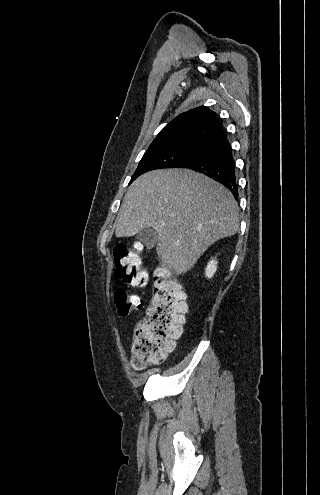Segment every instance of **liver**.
<instances>
[{
    "instance_id": "obj_1",
    "label": "liver",
    "mask_w": 320,
    "mask_h": 495,
    "mask_svg": "<svg viewBox=\"0 0 320 495\" xmlns=\"http://www.w3.org/2000/svg\"><path fill=\"white\" fill-rule=\"evenodd\" d=\"M238 210L231 191L204 174L180 168L155 170L129 187L115 235L132 237L152 227L158 233L159 258L181 275L209 246L238 231Z\"/></svg>"
}]
</instances>
